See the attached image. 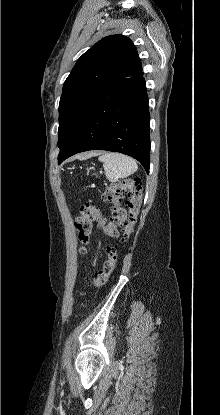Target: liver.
<instances>
[{
    "mask_svg": "<svg viewBox=\"0 0 220 415\" xmlns=\"http://www.w3.org/2000/svg\"><path fill=\"white\" fill-rule=\"evenodd\" d=\"M89 155H90V156H91V155H94V153H91V154H89Z\"/></svg>",
    "mask_w": 220,
    "mask_h": 415,
    "instance_id": "1",
    "label": "liver"
}]
</instances>
